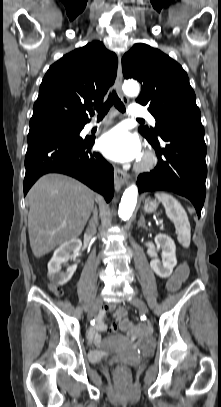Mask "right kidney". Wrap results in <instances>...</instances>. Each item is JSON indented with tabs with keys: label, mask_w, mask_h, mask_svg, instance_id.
I'll return each instance as SVG.
<instances>
[{
	"label": "right kidney",
	"mask_w": 221,
	"mask_h": 407,
	"mask_svg": "<svg viewBox=\"0 0 221 407\" xmlns=\"http://www.w3.org/2000/svg\"><path fill=\"white\" fill-rule=\"evenodd\" d=\"M82 242L78 239L67 241L54 251L48 263V275L50 280L56 285H65L73 276L77 269V264L71 265L65 272L61 271V265L68 259L74 261L79 256Z\"/></svg>",
	"instance_id": "1"
}]
</instances>
